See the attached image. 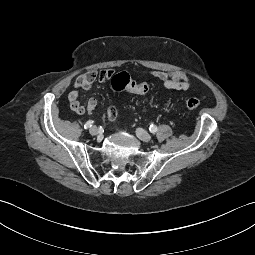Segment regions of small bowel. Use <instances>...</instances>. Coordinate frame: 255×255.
I'll return each mask as SVG.
<instances>
[{"instance_id": "small-bowel-1", "label": "small bowel", "mask_w": 255, "mask_h": 255, "mask_svg": "<svg viewBox=\"0 0 255 255\" xmlns=\"http://www.w3.org/2000/svg\"><path fill=\"white\" fill-rule=\"evenodd\" d=\"M113 75L111 69L90 70L79 75L74 81V90L68 94L70 107L76 114L82 115L84 113H92L97 107V100L90 98L86 105H82L79 101V90H88L96 81L106 82ZM151 75L157 78L162 85L167 89L185 91L192 86L191 79L180 72H165L161 70H154ZM116 114L113 106L107 110V118L112 119Z\"/></svg>"}]
</instances>
